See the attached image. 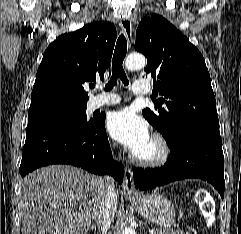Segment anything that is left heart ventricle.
Masks as SVG:
<instances>
[{
  "mask_svg": "<svg viewBox=\"0 0 241 234\" xmlns=\"http://www.w3.org/2000/svg\"><path fill=\"white\" fill-rule=\"evenodd\" d=\"M156 153H157V145L150 138L147 145L136 155L142 158H150V157H153Z\"/></svg>",
  "mask_w": 241,
  "mask_h": 234,
  "instance_id": "left-heart-ventricle-1",
  "label": "left heart ventricle"
}]
</instances>
